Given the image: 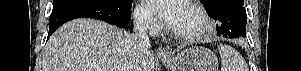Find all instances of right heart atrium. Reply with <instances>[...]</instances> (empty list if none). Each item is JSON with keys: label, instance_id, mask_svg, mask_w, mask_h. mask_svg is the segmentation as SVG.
<instances>
[{"label": "right heart atrium", "instance_id": "right-heart-atrium-1", "mask_svg": "<svg viewBox=\"0 0 301 71\" xmlns=\"http://www.w3.org/2000/svg\"><path fill=\"white\" fill-rule=\"evenodd\" d=\"M137 26L147 32L154 33L159 28V22L155 16L145 7L138 6L134 13Z\"/></svg>", "mask_w": 301, "mask_h": 71}]
</instances>
